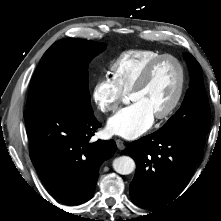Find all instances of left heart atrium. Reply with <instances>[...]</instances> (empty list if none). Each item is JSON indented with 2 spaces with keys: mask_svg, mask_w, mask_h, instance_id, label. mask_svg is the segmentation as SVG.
I'll return each instance as SVG.
<instances>
[{
  "mask_svg": "<svg viewBox=\"0 0 221 221\" xmlns=\"http://www.w3.org/2000/svg\"><path fill=\"white\" fill-rule=\"evenodd\" d=\"M153 121V114L144 105L135 102L111 117L107 124V130L111 134L134 139L147 131Z\"/></svg>",
  "mask_w": 221,
  "mask_h": 221,
  "instance_id": "left-heart-atrium-1",
  "label": "left heart atrium"
}]
</instances>
